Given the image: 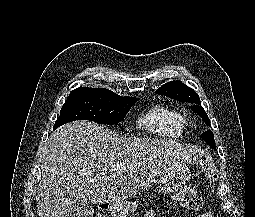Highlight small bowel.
I'll list each match as a JSON object with an SVG mask.
<instances>
[{
  "mask_svg": "<svg viewBox=\"0 0 255 217\" xmlns=\"http://www.w3.org/2000/svg\"><path fill=\"white\" fill-rule=\"evenodd\" d=\"M144 217H156L155 212L153 210H149ZM198 217H215L211 212H204Z\"/></svg>",
  "mask_w": 255,
  "mask_h": 217,
  "instance_id": "small-bowel-1",
  "label": "small bowel"
}]
</instances>
